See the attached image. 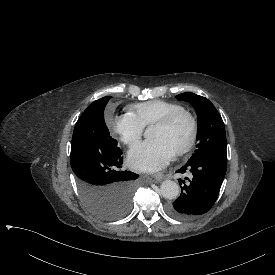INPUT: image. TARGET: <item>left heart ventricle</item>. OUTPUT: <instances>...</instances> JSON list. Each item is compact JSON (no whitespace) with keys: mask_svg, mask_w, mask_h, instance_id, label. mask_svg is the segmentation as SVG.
<instances>
[{"mask_svg":"<svg viewBox=\"0 0 275 275\" xmlns=\"http://www.w3.org/2000/svg\"><path fill=\"white\" fill-rule=\"evenodd\" d=\"M188 131L189 123L186 118H182L170 129L155 126L151 132L150 138L152 140L164 141L175 151L178 146L185 142Z\"/></svg>","mask_w":275,"mask_h":275,"instance_id":"left-heart-ventricle-1","label":"left heart ventricle"}]
</instances>
